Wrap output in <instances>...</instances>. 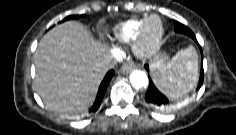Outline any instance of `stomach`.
<instances>
[{
	"mask_svg": "<svg viewBox=\"0 0 236 135\" xmlns=\"http://www.w3.org/2000/svg\"><path fill=\"white\" fill-rule=\"evenodd\" d=\"M165 59H166L165 54H158L156 58L153 60L152 66L156 63L165 61Z\"/></svg>",
	"mask_w": 236,
	"mask_h": 135,
	"instance_id": "0dacf381",
	"label": "stomach"
}]
</instances>
